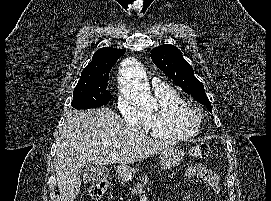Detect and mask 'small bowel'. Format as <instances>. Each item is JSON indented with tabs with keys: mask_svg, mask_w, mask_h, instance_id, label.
<instances>
[{
	"mask_svg": "<svg viewBox=\"0 0 271 201\" xmlns=\"http://www.w3.org/2000/svg\"><path fill=\"white\" fill-rule=\"evenodd\" d=\"M189 181H198L212 188L216 193L220 192L218 176L202 164L190 167L186 172Z\"/></svg>",
	"mask_w": 271,
	"mask_h": 201,
	"instance_id": "c3829d8e",
	"label": "small bowel"
}]
</instances>
